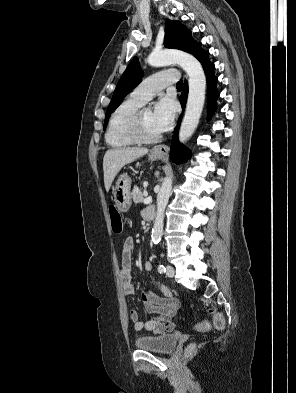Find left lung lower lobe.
I'll list each match as a JSON object with an SVG mask.
<instances>
[{
    "label": "left lung lower lobe",
    "mask_w": 296,
    "mask_h": 393,
    "mask_svg": "<svg viewBox=\"0 0 296 393\" xmlns=\"http://www.w3.org/2000/svg\"><path fill=\"white\" fill-rule=\"evenodd\" d=\"M208 54L209 52H207L204 56H202L199 59V61L203 66L207 79V102H208L207 111H208V118H210L212 113L216 109V99L219 96V93L216 89L217 78L214 75V64L209 61ZM187 94H188L187 82H185V89L183 90L180 96V102L183 109L185 108ZM180 120L181 117L179 118V122ZM179 122L172 138V144L170 150V159L176 162L177 164L184 162L189 157L188 151L183 147L182 144L179 143L178 140Z\"/></svg>",
    "instance_id": "0a47b994"
}]
</instances>
